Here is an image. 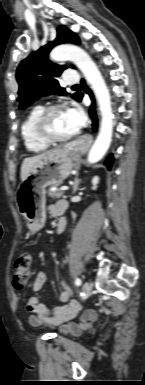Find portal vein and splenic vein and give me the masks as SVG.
Wrapping results in <instances>:
<instances>
[{
  "label": "portal vein and splenic vein",
  "mask_w": 145,
  "mask_h": 385,
  "mask_svg": "<svg viewBox=\"0 0 145 385\" xmlns=\"http://www.w3.org/2000/svg\"><path fill=\"white\" fill-rule=\"evenodd\" d=\"M68 189H69L68 186H62V187H61V190H62V191H66V190H68Z\"/></svg>",
  "instance_id": "portal-vein-and-splenic-vein-1"
}]
</instances>
